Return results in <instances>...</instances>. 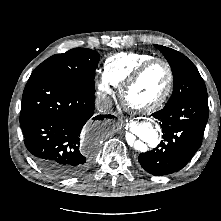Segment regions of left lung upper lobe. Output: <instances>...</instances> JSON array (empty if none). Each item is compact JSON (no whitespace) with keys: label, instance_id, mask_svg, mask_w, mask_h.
I'll list each match as a JSON object with an SVG mask.
<instances>
[{"label":"left lung upper lobe","instance_id":"1","mask_svg":"<svg viewBox=\"0 0 221 221\" xmlns=\"http://www.w3.org/2000/svg\"><path fill=\"white\" fill-rule=\"evenodd\" d=\"M169 62L173 78V93L167 104L184 100L192 95H207L206 86L195 65L182 53L161 45H154Z\"/></svg>","mask_w":221,"mask_h":221}]
</instances>
